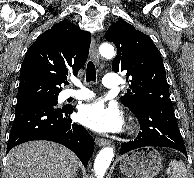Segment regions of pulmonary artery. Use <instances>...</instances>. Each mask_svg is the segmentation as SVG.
Returning <instances> with one entry per match:
<instances>
[{
    "label": "pulmonary artery",
    "mask_w": 194,
    "mask_h": 178,
    "mask_svg": "<svg viewBox=\"0 0 194 178\" xmlns=\"http://www.w3.org/2000/svg\"><path fill=\"white\" fill-rule=\"evenodd\" d=\"M102 83L104 87L114 89L119 87L120 82L118 80V77L116 74H107L103 77ZM79 86L81 87L78 91H71L68 90L65 94L66 98H74L77 100H89L94 97V93L90 91L87 88L82 87L80 84Z\"/></svg>",
    "instance_id": "obj_1"
}]
</instances>
